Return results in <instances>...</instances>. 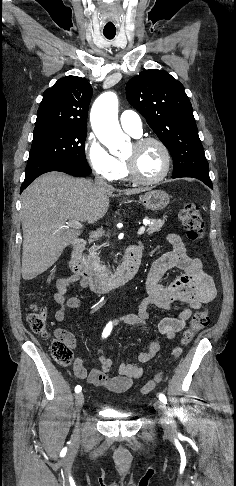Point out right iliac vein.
Listing matches in <instances>:
<instances>
[{
	"mask_svg": "<svg viewBox=\"0 0 236 486\" xmlns=\"http://www.w3.org/2000/svg\"><path fill=\"white\" fill-rule=\"evenodd\" d=\"M75 404H76V412H77V415H78V418H79V415H80V411L84 405V395L83 393H79L76 395L75 397Z\"/></svg>",
	"mask_w": 236,
	"mask_h": 486,
	"instance_id": "obj_1",
	"label": "right iliac vein"
}]
</instances>
